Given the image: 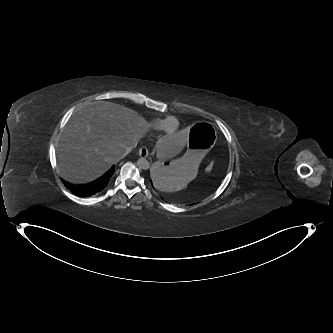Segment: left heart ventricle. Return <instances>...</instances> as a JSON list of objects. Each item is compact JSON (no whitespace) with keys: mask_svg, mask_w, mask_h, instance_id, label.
<instances>
[{"mask_svg":"<svg viewBox=\"0 0 333 333\" xmlns=\"http://www.w3.org/2000/svg\"><path fill=\"white\" fill-rule=\"evenodd\" d=\"M167 127H168V130H169L170 132L173 131V130L175 129V127H176V123H175V121H174V120H171V121L168 123Z\"/></svg>","mask_w":333,"mask_h":333,"instance_id":"1","label":"left heart ventricle"}]
</instances>
